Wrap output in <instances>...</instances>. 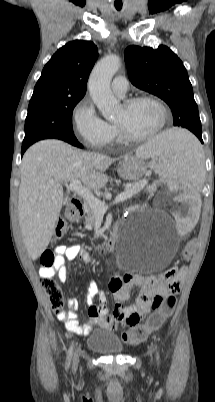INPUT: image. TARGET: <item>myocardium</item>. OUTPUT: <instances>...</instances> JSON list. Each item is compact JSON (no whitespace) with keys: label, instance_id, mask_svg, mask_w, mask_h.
I'll use <instances>...</instances> for the list:
<instances>
[{"label":"myocardium","instance_id":"1","mask_svg":"<svg viewBox=\"0 0 215 402\" xmlns=\"http://www.w3.org/2000/svg\"><path fill=\"white\" fill-rule=\"evenodd\" d=\"M141 101H150L158 106V108L161 111V122H160L159 126L153 132H151L147 135H144V136H135V135L131 134L125 128V126L123 124L116 122V127L118 129L120 137L124 141L129 142V143H142V142H146V141L154 139L166 128V125L168 122V116H169L168 109H167L166 105L164 104V102L156 96L139 95V96L131 97L124 101L123 106L126 108H129V107L133 106L134 104L141 102Z\"/></svg>","mask_w":215,"mask_h":402}]
</instances>
